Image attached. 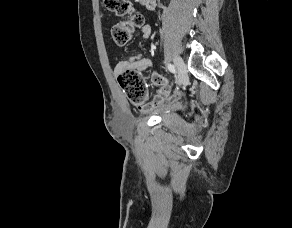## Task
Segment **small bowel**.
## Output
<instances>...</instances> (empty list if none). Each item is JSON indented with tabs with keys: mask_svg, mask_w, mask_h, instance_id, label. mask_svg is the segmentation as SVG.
<instances>
[{
	"mask_svg": "<svg viewBox=\"0 0 292 228\" xmlns=\"http://www.w3.org/2000/svg\"><path fill=\"white\" fill-rule=\"evenodd\" d=\"M141 32L144 38H149L152 34L151 26L148 24L143 25ZM151 65V59L143 57L142 55H133L126 60L120 61L114 67V73L115 75H119L123 71L129 69L141 72L149 68ZM150 79L154 84L159 86V89L152 101L146 102L144 105L139 107L142 112H152L159 108L165 107L176 101L182 95L181 90L171 93L172 82L164 78L159 73L152 72Z\"/></svg>",
	"mask_w": 292,
	"mask_h": 228,
	"instance_id": "c3829d8e",
	"label": "small bowel"
}]
</instances>
